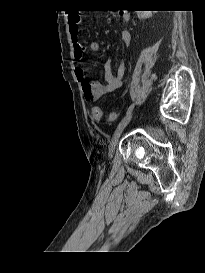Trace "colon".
Here are the masks:
<instances>
[{
	"label": "colon",
	"mask_w": 205,
	"mask_h": 273,
	"mask_svg": "<svg viewBox=\"0 0 205 273\" xmlns=\"http://www.w3.org/2000/svg\"><path fill=\"white\" fill-rule=\"evenodd\" d=\"M91 115H92L93 120H95L96 122H100L103 119L102 111L98 106H94L92 108ZM118 117H119L118 112H112L108 117V121H114Z\"/></svg>",
	"instance_id": "5ec220e1"
}]
</instances>
